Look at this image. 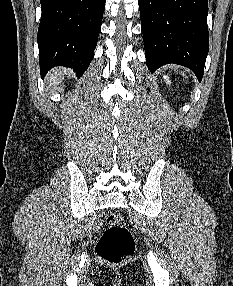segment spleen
Returning a JSON list of instances; mask_svg holds the SVG:
<instances>
[{
  "label": "spleen",
  "instance_id": "3e777b00",
  "mask_svg": "<svg viewBox=\"0 0 233 286\" xmlns=\"http://www.w3.org/2000/svg\"><path fill=\"white\" fill-rule=\"evenodd\" d=\"M181 74L184 76V72H181Z\"/></svg>",
  "mask_w": 233,
  "mask_h": 286
}]
</instances>
